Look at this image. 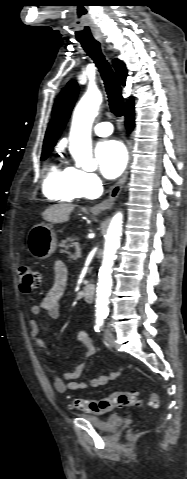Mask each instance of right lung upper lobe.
Instances as JSON below:
<instances>
[{"instance_id":"obj_1","label":"right lung upper lobe","mask_w":187,"mask_h":479,"mask_svg":"<svg viewBox=\"0 0 187 479\" xmlns=\"http://www.w3.org/2000/svg\"><path fill=\"white\" fill-rule=\"evenodd\" d=\"M113 66L117 72V75L120 79L121 84L125 85L127 75H128L125 64L122 61L115 59L113 62ZM77 95H78L77 83L75 81H70L68 83V87H67L65 96L63 98V101L56 113V116L51 121L50 126L47 129L45 139H44L43 152L52 150L53 146L55 145L56 140L58 139L61 131L64 129L65 124L70 116V113L74 106V102L77 98ZM132 106H134L133 100H129L126 104V109Z\"/></svg>"}]
</instances>
